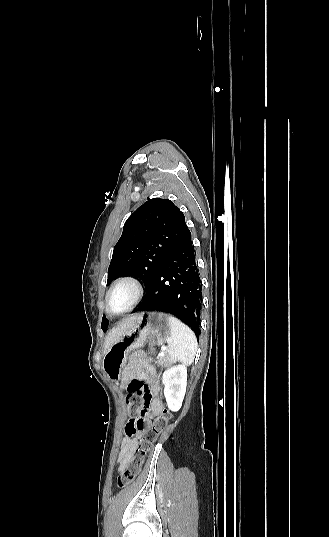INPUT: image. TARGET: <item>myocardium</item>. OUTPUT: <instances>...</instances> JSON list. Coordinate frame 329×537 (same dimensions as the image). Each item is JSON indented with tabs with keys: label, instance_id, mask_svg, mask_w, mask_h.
Masks as SVG:
<instances>
[{
	"label": "myocardium",
	"instance_id": "1",
	"mask_svg": "<svg viewBox=\"0 0 329 537\" xmlns=\"http://www.w3.org/2000/svg\"><path fill=\"white\" fill-rule=\"evenodd\" d=\"M123 284L132 285L134 287L135 291H136V297H135L133 303L130 305V307H128L123 312L116 313V312L112 311V309L110 307V296H111L112 292L117 287H119L120 285H123ZM143 295H144V287H143V284L141 283V281L139 279H137L134 276L121 277L108 289V291L106 293V296H105L106 310H107V312H109L112 315H116V316L124 315V314L132 311L139 304V302L141 301Z\"/></svg>",
	"mask_w": 329,
	"mask_h": 537
}]
</instances>
